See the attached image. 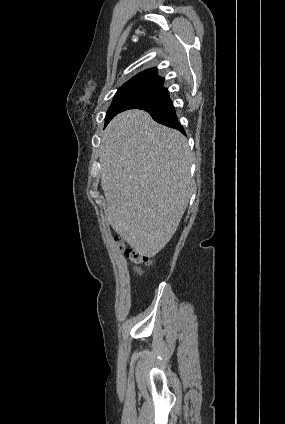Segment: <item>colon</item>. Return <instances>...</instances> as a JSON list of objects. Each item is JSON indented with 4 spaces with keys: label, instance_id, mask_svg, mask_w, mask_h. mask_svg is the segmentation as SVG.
I'll return each instance as SVG.
<instances>
[{
    "label": "colon",
    "instance_id": "5ec220e1",
    "mask_svg": "<svg viewBox=\"0 0 285 424\" xmlns=\"http://www.w3.org/2000/svg\"><path fill=\"white\" fill-rule=\"evenodd\" d=\"M116 240L118 241L120 249L122 250L125 257L135 264V272L138 274L141 273L142 266L148 265L150 260L141 252L125 247L118 238H116Z\"/></svg>",
    "mask_w": 285,
    "mask_h": 424
}]
</instances>
